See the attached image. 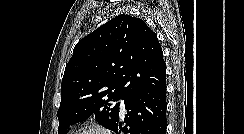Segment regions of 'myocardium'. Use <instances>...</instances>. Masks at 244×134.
Wrapping results in <instances>:
<instances>
[{
	"label": "myocardium",
	"mask_w": 244,
	"mask_h": 134,
	"mask_svg": "<svg viewBox=\"0 0 244 134\" xmlns=\"http://www.w3.org/2000/svg\"><path fill=\"white\" fill-rule=\"evenodd\" d=\"M86 132H94L97 134H114L110 128L98 122L84 124L71 134H83Z\"/></svg>",
	"instance_id": "obj_1"
}]
</instances>
